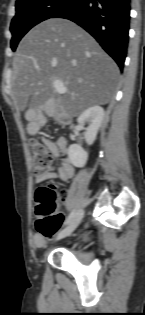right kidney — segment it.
<instances>
[{
  "label": "right kidney",
  "instance_id": "obj_1",
  "mask_svg": "<svg viewBox=\"0 0 145 315\" xmlns=\"http://www.w3.org/2000/svg\"><path fill=\"white\" fill-rule=\"evenodd\" d=\"M104 118V110L98 105L89 107L80 114L77 119L78 127L82 128V125L88 121L89 126L84 133L85 141L88 145H92L96 139L99 128L101 127ZM73 128V126H71ZM68 156L71 163L75 167H83L88 159V152L85 151L80 145L72 144L68 149Z\"/></svg>",
  "mask_w": 145,
  "mask_h": 315
}]
</instances>
